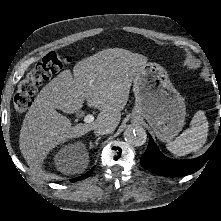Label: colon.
I'll return each instance as SVG.
<instances>
[{"label":"colon","instance_id":"obj_1","mask_svg":"<svg viewBox=\"0 0 221 221\" xmlns=\"http://www.w3.org/2000/svg\"><path fill=\"white\" fill-rule=\"evenodd\" d=\"M70 58L56 52L48 53L20 81L13 97L14 110L17 114L24 113L33 103L38 87L57 74Z\"/></svg>","mask_w":221,"mask_h":221}]
</instances>
